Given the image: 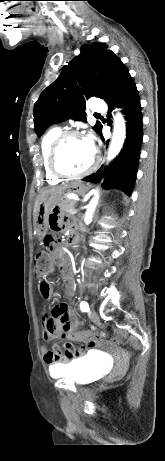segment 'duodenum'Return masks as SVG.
<instances>
[{"instance_id":"1","label":"duodenum","mask_w":165,"mask_h":461,"mask_svg":"<svg viewBox=\"0 0 165 461\" xmlns=\"http://www.w3.org/2000/svg\"><path fill=\"white\" fill-rule=\"evenodd\" d=\"M72 229L73 228H71V231H70V233L68 235V243H70V244L76 242L77 238H78L76 233Z\"/></svg>"}]
</instances>
